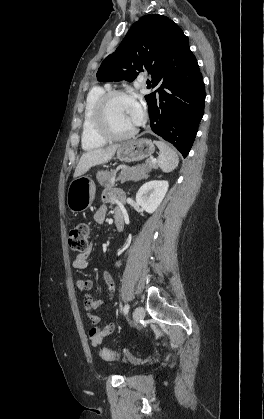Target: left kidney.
I'll use <instances>...</instances> for the list:
<instances>
[{
  "mask_svg": "<svg viewBox=\"0 0 264 419\" xmlns=\"http://www.w3.org/2000/svg\"><path fill=\"white\" fill-rule=\"evenodd\" d=\"M169 184L165 180H152L143 184L136 194V202L147 213H153L163 201Z\"/></svg>",
  "mask_w": 264,
  "mask_h": 419,
  "instance_id": "left-kidney-1",
  "label": "left kidney"
}]
</instances>
